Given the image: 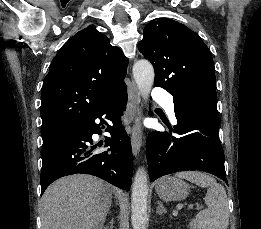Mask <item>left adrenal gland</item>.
Returning <instances> with one entry per match:
<instances>
[{"instance_id":"left-adrenal-gland-1","label":"left adrenal gland","mask_w":261,"mask_h":229,"mask_svg":"<svg viewBox=\"0 0 261 229\" xmlns=\"http://www.w3.org/2000/svg\"><path fill=\"white\" fill-rule=\"evenodd\" d=\"M157 209H156V213H158V215H162V213H167L166 209H164L163 207V203H161V201H157Z\"/></svg>"}]
</instances>
